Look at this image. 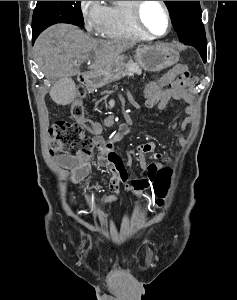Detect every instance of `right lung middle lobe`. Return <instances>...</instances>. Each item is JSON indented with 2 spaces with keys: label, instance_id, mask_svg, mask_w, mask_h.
Here are the masks:
<instances>
[{
  "label": "right lung middle lobe",
  "instance_id": "right-lung-middle-lobe-1",
  "mask_svg": "<svg viewBox=\"0 0 237 300\" xmlns=\"http://www.w3.org/2000/svg\"><path fill=\"white\" fill-rule=\"evenodd\" d=\"M56 23L83 26L84 20L80 1H37L32 19L33 37Z\"/></svg>",
  "mask_w": 237,
  "mask_h": 300
}]
</instances>
